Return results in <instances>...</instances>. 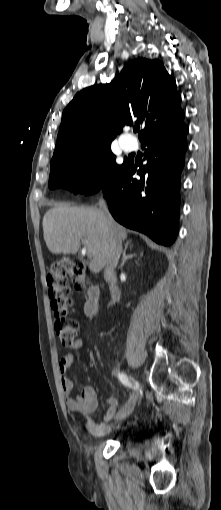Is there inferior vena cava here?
Instances as JSON below:
<instances>
[{"instance_id": "1", "label": "inferior vena cava", "mask_w": 221, "mask_h": 510, "mask_svg": "<svg viewBox=\"0 0 221 510\" xmlns=\"http://www.w3.org/2000/svg\"><path fill=\"white\" fill-rule=\"evenodd\" d=\"M99 207L106 216V221L110 229L109 244L106 251V265L104 270V278L110 283V291L113 299L119 300L120 291L116 286L117 277L115 269L117 267L120 254L122 252V241L118 237L116 231L113 230V219L109 213L106 201L101 198L99 200Z\"/></svg>"}]
</instances>
